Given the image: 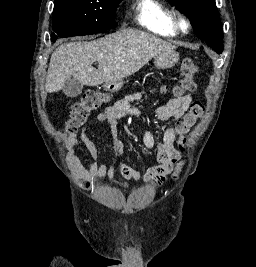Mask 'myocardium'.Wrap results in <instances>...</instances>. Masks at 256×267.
Wrapping results in <instances>:
<instances>
[{"mask_svg": "<svg viewBox=\"0 0 256 267\" xmlns=\"http://www.w3.org/2000/svg\"><path fill=\"white\" fill-rule=\"evenodd\" d=\"M173 21L176 29L182 33H187L189 29L191 28V22L189 19V16L187 13L181 9L178 8L173 16Z\"/></svg>", "mask_w": 256, "mask_h": 267, "instance_id": "f54148a6", "label": "myocardium"}]
</instances>
